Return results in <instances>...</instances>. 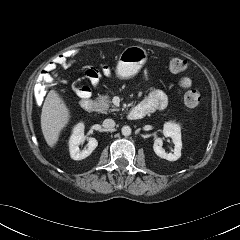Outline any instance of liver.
<instances>
[{
    "instance_id": "obj_1",
    "label": "liver",
    "mask_w": 240,
    "mask_h": 240,
    "mask_svg": "<svg viewBox=\"0 0 240 240\" xmlns=\"http://www.w3.org/2000/svg\"><path fill=\"white\" fill-rule=\"evenodd\" d=\"M71 118L70 111L64 100L55 90L47 94L41 112V129L46 143L54 148L63 128Z\"/></svg>"
}]
</instances>
